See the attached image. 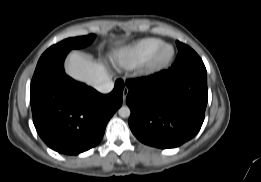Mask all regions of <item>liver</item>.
Listing matches in <instances>:
<instances>
[{
    "label": "liver",
    "instance_id": "1",
    "mask_svg": "<svg viewBox=\"0 0 261 182\" xmlns=\"http://www.w3.org/2000/svg\"><path fill=\"white\" fill-rule=\"evenodd\" d=\"M122 41L117 42L120 45ZM66 73L75 80L94 86L109 78L108 71L101 63L90 60L78 53H70L66 65Z\"/></svg>",
    "mask_w": 261,
    "mask_h": 182
}]
</instances>
